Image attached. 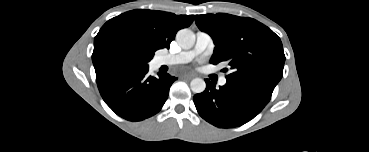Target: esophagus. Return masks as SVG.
Segmentation results:
<instances>
[{
  "label": "esophagus",
  "instance_id": "34e87169",
  "mask_svg": "<svg viewBox=\"0 0 369 152\" xmlns=\"http://www.w3.org/2000/svg\"><path fill=\"white\" fill-rule=\"evenodd\" d=\"M193 77H194L193 74H185V75L181 76V79L190 80Z\"/></svg>",
  "mask_w": 369,
  "mask_h": 152
}]
</instances>
